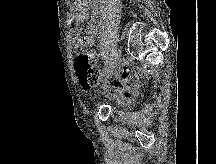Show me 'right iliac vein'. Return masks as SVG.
<instances>
[{
	"mask_svg": "<svg viewBox=\"0 0 216 164\" xmlns=\"http://www.w3.org/2000/svg\"><path fill=\"white\" fill-rule=\"evenodd\" d=\"M114 61H113V68L108 69V71L105 73V80L109 79L118 69H119V60H120V53L116 52L114 55Z\"/></svg>",
	"mask_w": 216,
	"mask_h": 164,
	"instance_id": "1",
	"label": "right iliac vein"
}]
</instances>
